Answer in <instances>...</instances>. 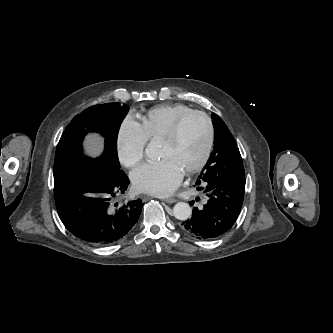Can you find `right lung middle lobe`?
<instances>
[{
  "instance_id": "dd1d6c3e",
  "label": "right lung middle lobe",
  "mask_w": 333,
  "mask_h": 333,
  "mask_svg": "<svg viewBox=\"0 0 333 333\" xmlns=\"http://www.w3.org/2000/svg\"><path fill=\"white\" fill-rule=\"evenodd\" d=\"M128 111L126 104L118 102L91 106L76 115L64 130L57 145L54 162V180L61 179L85 167L110 161L120 169L117 156V136L120 124ZM89 132H97L105 138V149L96 159L82 152V141Z\"/></svg>"
}]
</instances>
